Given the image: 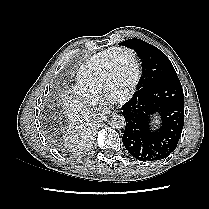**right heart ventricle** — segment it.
I'll use <instances>...</instances> for the list:
<instances>
[{
  "mask_svg": "<svg viewBox=\"0 0 209 209\" xmlns=\"http://www.w3.org/2000/svg\"><path fill=\"white\" fill-rule=\"evenodd\" d=\"M103 50L86 60L77 72V84L79 89L93 95L105 96L103 94L104 71L114 49Z\"/></svg>",
  "mask_w": 209,
  "mask_h": 209,
  "instance_id": "obj_1",
  "label": "right heart ventricle"
}]
</instances>
